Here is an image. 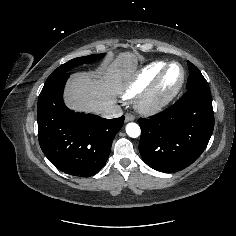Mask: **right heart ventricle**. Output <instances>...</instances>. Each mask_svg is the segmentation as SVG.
Returning <instances> with one entry per match:
<instances>
[{
  "mask_svg": "<svg viewBox=\"0 0 236 236\" xmlns=\"http://www.w3.org/2000/svg\"><path fill=\"white\" fill-rule=\"evenodd\" d=\"M166 65V62L156 61L144 66L127 84L123 98H132L145 90Z\"/></svg>",
  "mask_w": 236,
  "mask_h": 236,
  "instance_id": "right-heart-ventricle-1",
  "label": "right heart ventricle"
}]
</instances>
